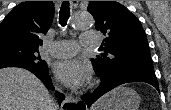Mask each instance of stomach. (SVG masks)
<instances>
[{"label": "stomach", "instance_id": "1", "mask_svg": "<svg viewBox=\"0 0 171 110\" xmlns=\"http://www.w3.org/2000/svg\"><path fill=\"white\" fill-rule=\"evenodd\" d=\"M98 110H138L140 97L131 88L120 86L102 99Z\"/></svg>", "mask_w": 171, "mask_h": 110}]
</instances>
